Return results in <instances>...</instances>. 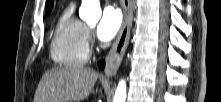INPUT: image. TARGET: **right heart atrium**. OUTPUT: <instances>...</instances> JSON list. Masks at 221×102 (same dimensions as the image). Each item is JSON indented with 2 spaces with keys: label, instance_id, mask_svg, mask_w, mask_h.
<instances>
[{
  "label": "right heart atrium",
  "instance_id": "1",
  "mask_svg": "<svg viewBox=\"0 0 221 102\" xmlns=\"http://www.w3.org/2000/svg\"><path fill=\"white\" fill-rule=\"evenodd\" d=\"M86 39H87V42H90L92 40L91 31L88 28L86 30Z\"/></svg>",
  "mask_w": 221,
  "mask_h": 102
}]
</instances>
